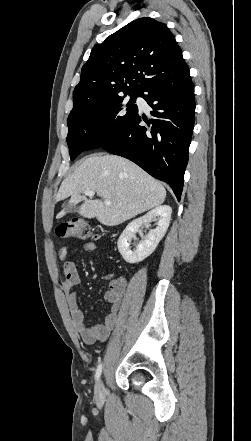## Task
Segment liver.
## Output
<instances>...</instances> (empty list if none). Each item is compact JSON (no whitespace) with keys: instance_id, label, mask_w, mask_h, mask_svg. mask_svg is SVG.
<instances>
[{"instance_id":"6515ba94","label":"liver","mask_w":251,"mask_h":441,"mask_svg":"<svg viewBox=\"0 0 251 441\" xmlns=\"http://www.w3.org/2000/svg\"><path fill=\"white\" fill-rule=\"evenodd\" d=\"M93 190L101 199H86L81 195ZM71 197L73 204L83 201L78 213L85 218H97L106 226H116L145 211L161 205L166 198L163 185L133 162L116 155H92L84 159L66 177L56 200ZM103 200H110L105 205ZM63 210L57 219L63 217Z\"/></svg>"}]
</instances>
